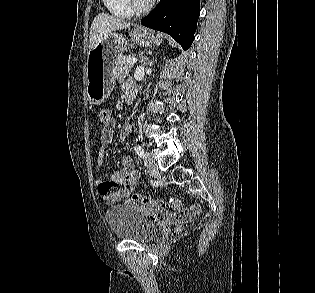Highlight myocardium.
Masks as SVG:
<instances>
[{
	"instance_id": "obj_1",
	"label": "myocardium",
	"mask_w": 315,
	"mask_h": 293,
	"mask_svg": "<svg viewBox=\"0 0 315 293\" xmlns=\"http://www.w3.org/2000/svg\"><path fill=\"white\" fill-rule=\"evenodd\" d=\"M128 8L133 12V13H144L148 11L151 6L152 2L148 1L145 4H140L138 3L137 0H125Z\"/></svg>"
}]
</instances>
